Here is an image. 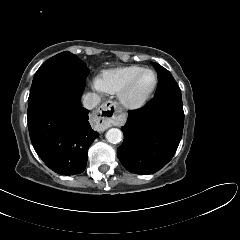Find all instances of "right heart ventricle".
<instances>
[{"instance_id":"right-heart-ventricle-1","label":"right heart ventricle","mask_w":240,"mask_h":240,"mask_svg":"<svg viewBox=\"0 0 240 240\" xmlns=\"http://www.w3.org/2000/svg\"><path fill=\"white\" fill-rule=\"evenodd\" d=\"M144 68L137 65L120 67L103 72L97 79V86L100 90L118 94L121 89Z\"/></svg>"}]
</instances>
